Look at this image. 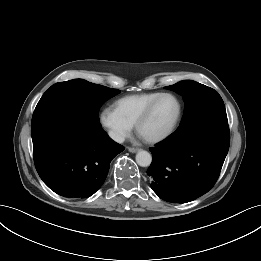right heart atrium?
<instances>
[{
  "label": "right heart atrium",
  "mask_w": 261,
  "mask_h": 261,
  "mask_svg": "<svg viewBox=\"0 0 261 261\" xmlns=\"http://www.w3.org/2000/svg\"><path fill=\"white\" fill-rule=\"evenodd\" d=\"M99 120L108 131L110 137L118 143L123 142L131 134L133 125L120 116L113 108H104L99 114Z\"/></svg>",
  "instance_id": "1"
}]
</instances>
